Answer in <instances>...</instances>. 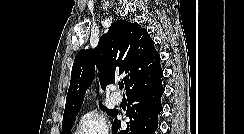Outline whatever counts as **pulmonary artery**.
I'll list each match as a JSON object with an SVG mask.
<instances>
[{
	"mask_svg": "<svg viewBox=\"0 0 244 134\" xmlns=\"http://www.w3.org/2000/svg\"><path fill=\"white\" fill-rule=\"evenodd\" d=\"M110 99L115 105H119L122 102V97L116 92V87L112 88Z\"/></svg>",
	"mask_w": 244,
	"mask_h": 134,
	"instance_id": "obj_1",
	"label": "pulmonary artery"
}]
</instances>
